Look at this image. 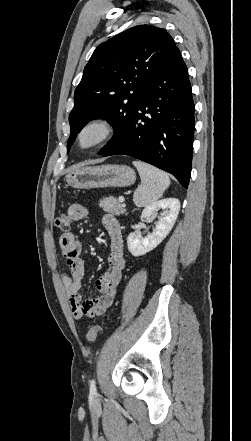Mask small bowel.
Masks as SVG:
<instances>
[{
  "label": "small bowel",
  "instance_id": "1",
  "mask_svg": "<svg viewBox=\"0 0 251 441\" xmlns=\"http://www.w3.org/2000/svg\"><path fill=\"white\" fill-rule=\"evenodd\" d=\"M88 215L89 210L80 204L73 205L70 210L73 220H82ZM102 223L109 235L110 254L107 270L95 283L100 293L96 298L83 300L80 293L85 275L81 242L72 233L61 235L59 241L65 263L69 268V273L61 274V279L72 314L78 320L103 315L113 305L125 268L123 237L119 221L114 215L105 213L102 216Z\"/></svg>",
  "mask_w": 251,
  "mask_h": 441
}]
</instances>
